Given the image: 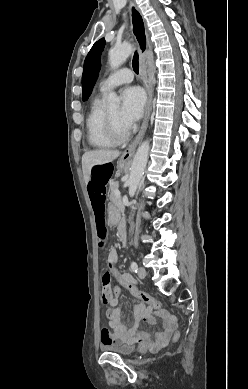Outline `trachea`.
<instances>
[{
	"mask_svg": "<svg viewBox=\"0 0 248 389\" xmlns=\"http://www.w3.org/2000/svg\"><path fill=\"white\" fill-rule=\"evenodd\" d=\"M132 67L136 74L139 73V57L137 51H135L133 60H132Z\"/></svg>",
	"mask_w": 248,
	"mask_h": 389,
	"instance_id": "3493384b",
	"label": "trachea"
}]
</instances>
